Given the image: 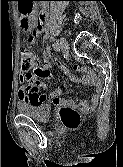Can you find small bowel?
<instances>
[{
    "mask_svg": "<svg viewBox=\"0 0 123 167\" xmlns=\"http://www.w3.org/2000/svg\"><path fill=\"white\" fill-rule=\"evenodd\" d=\"M19 5V14L21 15L20 24L24 29H31L33 21L30 17L34 5L32 1H17ZM42 33V30H35L27 38V43L29 45L34 44L35 38ZM51 58L47 55L44 56L42 66L36 67L31 73H21L20 82L24 84L19 92V98L27 103L36 104L47 101V96L43 93L46 88L45 84L40 80L41 77L50 76ZM60 69L64 75H69V71L66 67L60 66ZM69 80L72 83H81L84 85L91 86L95 89L96 93L92 95L89 100H82L76 103L73 100H66L60 97V90L56 89L50 94V100L54 105L76 109L79 108L82 112L92 111L98 104L99 95L101 91V83L91 72H85L82 78L70 75ZM26 84V85H25Z\"/></svg>",
    "mask_w": 123,
    "mask_h": 167,
    "instance_id": "small-bowel-1",
    "label": "small bowel"
}]
</instances>
